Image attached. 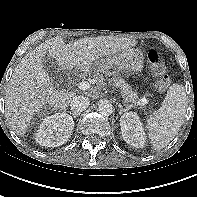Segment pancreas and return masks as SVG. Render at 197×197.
Masks as SVG:
<instances>
[{"label": "pancreas", "instance_id": "pancreas-1", "mask_svg": "<svg viewBox=\"0 0 197 197\" xmlns=\"http://www.w3.org/2000/svg\"><path fill=\"white\" fill-rule=\"evenodd\" d=\"M94 79L98 83H101L103 81V76L100 74H96L94 76ZM110 81H113L114 86L120 88L122 98L124 99L125 102L135 103L137 101L138 99L137 93L131 89L129 84H127L124 81V79H122L121 77H113Z\"/></svg>", "mask_w": 197, "mask_h": 197}]
</instances>
